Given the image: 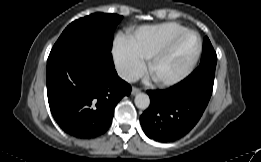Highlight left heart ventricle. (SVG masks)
Wrapping results in <instances>:
<instances>
[{"instance_id":"obj_1","label":"left heart ventricle","mask_w":261,"mask_h":162,"mask_svg":"<svg viewBox=\"0 0 261 162\" xmlns=\"http://www.w3.org/2000/svg\"><path fill=\"white\" fill-rule=\"evenodd\" d=\"M198 47V38L189 33L181 37L168 54L161 58L153 67L155 77H171L183 70L193 57Z\"/></svg>"}]
</instances>
